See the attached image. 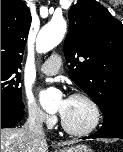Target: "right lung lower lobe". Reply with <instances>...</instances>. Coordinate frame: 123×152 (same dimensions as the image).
I'll use <instances>...</instances> for the list:
<instances>
[{"label": "right lung lower lobe", "mask_w": 123, "mask_h": 152, "mask_svg": "<svg viewBox=\"0 0 123 152\" xmlns=\"http://www.w3.org/2000/svg\"><path fill=\"white\" fill-rule=\"evenodd\" d=\"M23 116V110L1 106V128L14 127Z\"/></svg>", "instance_id": "1"}]
</instances>
